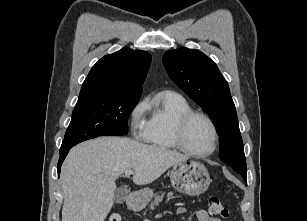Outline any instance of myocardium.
Here are the masks:
<instances>
[{"mask_svg": "<svg viewBox=\"0 0 307 221\" xmlns=\"http://www.w3.org/2000/svg\"><path fill=\"white\" fill-rule=\"evenodd\" d=\"M195 117L203 118L210 125L212 129L213 145H212V148L206 153L193 152L187 147L185 140H184L187 126L189 125L191 120L194 119ZM174 141H175L177 148L181 150L182 152H184L185 154L191 157H195V158H206V157L211 156L217 150V147L219 144V132H218L215 122L209 115L201 111L191 110L189 112H186L182 116H180V118L178 119L176 126H175V131H174Z\"/></svg>", "mask_w": 307, "mask_h": 221, "instance_id": "obj_1", "label": "myocardium"}]
</instances>
